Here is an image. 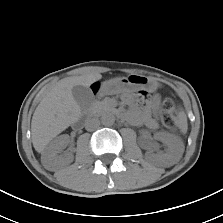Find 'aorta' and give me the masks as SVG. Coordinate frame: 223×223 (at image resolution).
I'll return each mask as SVG.
<instances>
[{
    "label": "aorta",
    "instance_id": "aorta-1",
    "mask_svg": "<svg viewBox=\"0 0 223 223\" xmlns=\"http://www.w3.org/2000/svg\"><path fill=\"white\" fill-rule=\"evenodd\" d=\"M101 122L105 126H112L115 122V116L111 113L102 115Z\"/></svg>",
    "mask_w": 223,
    "mask_h": 223
}]
</instances>
